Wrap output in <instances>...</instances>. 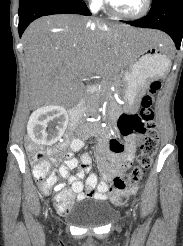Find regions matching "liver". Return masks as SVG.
I'll return each instance as SVG.
<instances>
[{
    "label": "liver",
    "mask_w": 183,
    "mask_h": 246,
    "mask_svg": "<svg viewBox=\"0 0 183 246\" xmlns=\"http://www.w3.org/2000/svg\"><path fill=\"white\" fill-rule=\"evenodd\" d=\"M135 40L171 45L154 30L104 23L80 15H50L29 25L23 34L29 94L36 105L69 106L85 93L88 73L106 75L130 61Z\"/></svg>",
    "instance_id": "obj_1"
}]
</instances>
